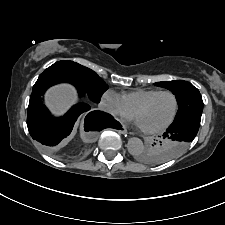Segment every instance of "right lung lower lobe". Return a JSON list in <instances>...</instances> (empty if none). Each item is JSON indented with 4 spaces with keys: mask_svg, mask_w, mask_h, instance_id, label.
Returning a JSON list of instances; mask_svg holds the SVG:
<instances>
[{
    "mask_svg": "<svg viewBox=\"0 0 225 225\" xmlns=\"http://www.w3.org/2000/svg\"><path fill=\"white\" fill-rule=\"evenodd\" d=\"M61 82L73 84L78 89L80 96H84L86 93L83 88L64 75L42 73L33 86V91L29 100L27 113V127L29 133L31 137L41 143L47 151H54L62 145L65 138L72 132L73 126L81 114H87L84 125L86 130H102L106 128L110 122L115 121L112 116L104 112H89L90 106L85 103L74 105L64 117L54 119L44 106L42 95L50 86Z\"/></svg>",
    "mask_w": 225,
    "mask_h": 225,
    "instance_id": "right-lung-lower-lobe-1",
    "label": "right lung lower lobe"
}]
</instances>
